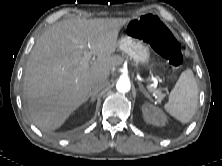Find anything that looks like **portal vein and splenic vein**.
<instances>
[{
	"label": "portal vein and splenic vein",
	"mask_w": 222,
	"mask_h": 166,
	"mask_svg": "<svg viewBox=\"0 0 222 166\" xmlns=\"http://www.w3.org/2000/svg\"><path fill=\"white\" fill-rule=\"evenodd\" d=\"M82 47H86L88 48L89 47V44H86V43H82ZM91 58V54L86 51L85 52V58H84V61L82 62V65H81V68L82 69H85L88 67V60ZM149 91L153 92V95L155 96H158L159 98H162L163 94L159 91V90H156L154 88H152V86H149L148 87Z\"/></svg>",
	"instance_id": "portal-vein-and-splenic-vein-1"
}]
</instances>
